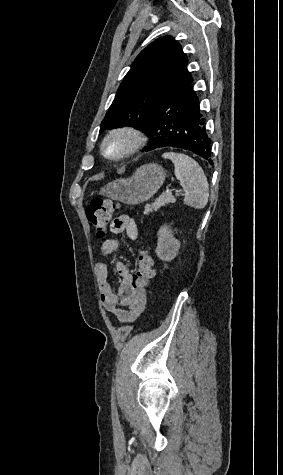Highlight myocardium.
Masks as SVG:
<instances>
[{
    "label": "myocardium",
    "mask_w": 283,
    "mask_h": 475,
    "mask_svg": "<svg viewBox=\"0 0 283 475\" xmlns=\"http://www.w3.org/2000/svg\"><path fill=\"white\" fill-rule=\"evenodd\" d=\"M114 140H121L124 143L123 149L110 154L107 151V145ZM146 140L145 132L136 126L122 125L111 129L102 139L100 151L104 158L111 161H119L135 155L143 146Z\"/></svg>",
    "instance_id": "obj_1"
}]
</instances>
